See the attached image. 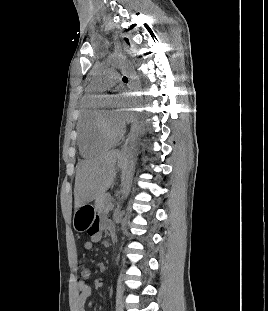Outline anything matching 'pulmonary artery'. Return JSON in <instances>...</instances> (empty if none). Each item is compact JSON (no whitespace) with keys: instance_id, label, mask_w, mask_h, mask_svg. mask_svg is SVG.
<instances>
[{"instance_id":"1","label":"pulmonary artery","mask_w":268,"mask_h":311,"mask_svg":"<svg viewBox=\"0 0 268 311\" xmlns=\"http://www.w3.org/2000/svg\"><path fill=\"white\" fill-rule=\"evenodd\" d=\"M118 81H120L119 73L114 70H108L103 72L90 84V90L94 92L104 91L115 85Z\"/></svg>"}]
</instances>
